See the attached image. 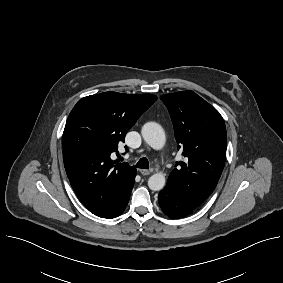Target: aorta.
I'll list each match as a JSON object with an SVG mask.
<instances>
[{"label":"aorta","mask_w":283,"mask_h":283,"mask_svg":"<svg viewBox=\"0 0 283 283\" xmlns=\"http://www.w3.org/2000/svg\"><path fill=\"white\" fill-rule=\"evenodd\" d=\"M141 133L145 142L153 149L160 150L164 147L165 132L158 123L148 122L144 124ZM148 186L152 191L162 190L165 186V175L163 173L153 174L148 179Z\"/></svg>","instance_id":"aorta-1"}]
</instances>
